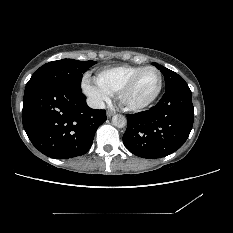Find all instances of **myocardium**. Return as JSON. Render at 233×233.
I'll use <instances>...</instances> for the list:
<instances>
[{
  "label": "myocardium",
  "instance_id": "1",
  "mask_svg": "<svg viewBox=\"0 0 233 233\" xmlns=\"http://www.w3.org/2000/svg\"><path fill=\"white\" fill-rule=\"evenodd\" d=\"M148 70H154L158 74L159 84H158L156 92L154 93V95L152 97H150L149 99H147L146 101H144L142 103H139V104L128 103L127 99H126L127 94L134 87V85L136 84L138 79ZM162 87H163V77H162L161 71L154 66H146V67L142 68L141 70H139L138 72H136L133 76H131L128 79V81L122 86V88L120 89V91L118 93V99H119L120 105L123 108H125L127 110H131V111L143 110L156 101V99L159 97V95L161 93Z\"/></svg>",
  "mask_w": 233,
  "mask_h": 233
}]
</instances>
